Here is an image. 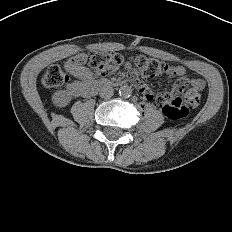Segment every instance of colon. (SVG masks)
<instances>
[{
  "mask_svg": "<svg viewBox=\"0 0 232 232\" xmlns=\"http://www.w3.org/2000/svg\"><path fill=\"white\" fill-rule=\"evenodd\" d=\"M133 60L137 64V70L145 77H158L168 70L165 63L155 58L137 56ZM75 61L80 65L88 61L99 75H108L118 69L124 62V58L116 53L95 51L89 54L88 59L77 56ZM67 80L68 76L64 67L60 64H53L44 73L42 83L44 86L52 88L63 85ZM201 93L200 88L189 85L186 79H179L174 84L171 93L159 95L156 101L162 107V112L167 118L176 120L187 116L189 109L199 104Z\"/></svg>",
  "mask_w": 232,
  "mask_h": 232,
  "instance_id": "5ec220e1",
  "label": "colon"
}]
</instances>
